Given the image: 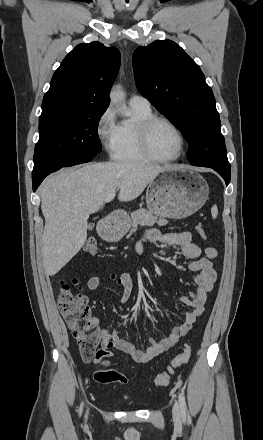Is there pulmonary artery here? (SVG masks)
I'll return each instance as SVG.
<instances>
[{
	"mask_svg": "<svg viewBox=\"0 0 263 440\" xmlns=\"http://www.w3.org/2000/svg\"><path fill=\"white\" fill-rule=\"evenodd\" d=\"M129 104L132 107L137 108H150V102L148 99L142 95H132L129 99Z\"/></svg>",
	"mask_w": 263,
	"mask_h": 440,
	"instance_id": "1",
	"label": "pulmonary artery"
}]
</instances>
